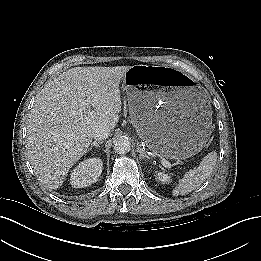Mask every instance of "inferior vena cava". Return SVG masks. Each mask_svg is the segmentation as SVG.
<instances>
[{
    "label": "inferior vena cava",
    "mask_w": 261,
    "mask_h": 261,
    "mask_svg": "<svg viewBox=\"0 0 261 261\" xmlns=\"http://www.w3.org/2000/svg\"><path fill=\"white\" fill-rule=\"evenodd\" d=\"M92 133L94 139L101 141L109 136L110 128L105 125H99L93 129Z\"/></svg>",
    "instance_id": "1"
}]
</instances>
